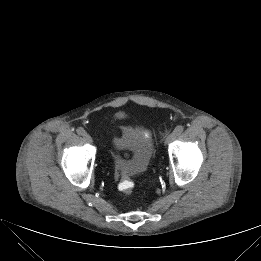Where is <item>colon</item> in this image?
<instances>
[{"label": "colon", "mask_w": 261, "mask_h": 261, "mask_svg": "<svg viewBox=\"0 0 261 261\" xmlns=\"http://www.w3.org/2000/svg\"><path fill=\"white\" fill-rule=\"evenodd\" d=\"M148 136V132L140 131V132H133V131H126L124 139L128 141L132 138L134 139H142ZM115 177L118 182V189L125 195H131L134 189V182L129 174L127 166L124 164L123 161H119L115 167Z\"/></svg>", "instance_id": "colon-1"}]
</instances>
